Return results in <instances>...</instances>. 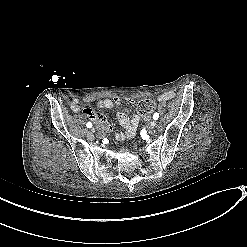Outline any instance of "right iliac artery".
Here are the masks:
<instances>
[{"instance_id": "obj_1", "label": "right iliac artery", "mask_w": 247, "mask_h": 247, "mask_svg": "<svg viewBox=\"0 0 247 247\" xmlns=\"http://www.w3.org/2000/svg\"><path fill=\"white\" fill-rule=\"evenodd\" d=\"M86 126H87L88 128H91V127H92V123H91V122H87Z\"/></svg>"}]
</instances>
